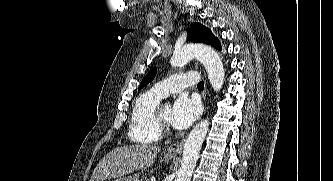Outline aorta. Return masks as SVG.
Returning <instances> with one entry per match:
<instances>
[{"mask_svg":"<svg viewBox=\"0 0 333 181\" xmlns=\"http://www.w3.org/2000/svg\"><path fill=\"white\" fill-rule=\"evenodd\" d=\"M193 58L203 64L212 88L214 91H219L224 83L225 72L221 58L211 47L202 44L185 45L174 52L170 63L173 67H177ZM208 130L209 121L205 119L189 133L183 149L181 167L175 181H190Z\"/></svg>","mask_w":333,"mask_h":181,"instance_id":"1","label":"aorta"}]
</instances>
